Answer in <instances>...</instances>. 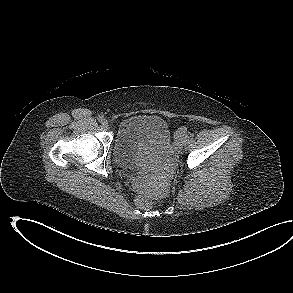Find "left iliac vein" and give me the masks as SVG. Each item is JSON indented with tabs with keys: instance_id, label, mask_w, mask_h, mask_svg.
Segmentation results:
<instances>
[{
	"instance_id": "left-iliac-vein-1",
	"label": "left iliac vein",
	"mask_w": 293,
	"mask_h": 293,
	"mask_svg": "<svg viewBox=\"0 0 293 293\" xmlns=\"http://www.w3.org/2000/svg\"><path fill=\"white\" fill-rule=\"evenodd\" d=\"M188 142H189V137H185V138L182 140V144H183V145L188 144Z\"/></svg>"
}]
</instances>
